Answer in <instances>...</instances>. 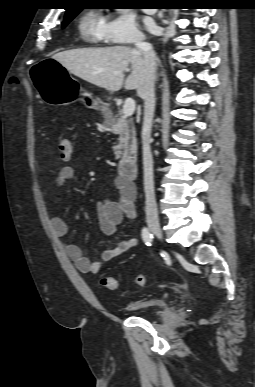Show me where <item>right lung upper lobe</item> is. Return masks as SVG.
Returning <instances> with one entry per match:
<instances>
[{
	"instance_id": "obj_1",
	"label": "right lung upper lobe",
	"mask_w": 255,
	"mask_h": 387,
	"mask_svg": "<svg viewBox=\"0 0 255 387\" xmlns=\"http://www.w3.org/2000/svg\"><path fill=\"white\" fill-rule=\"evenodd\" d=\"M73 8H75V7H73ZM73 8H67V11H69L70 9H73Z\"/></svg>"
}]
</instances>
